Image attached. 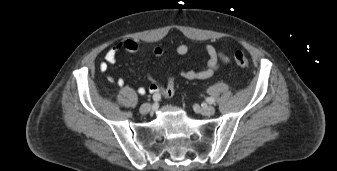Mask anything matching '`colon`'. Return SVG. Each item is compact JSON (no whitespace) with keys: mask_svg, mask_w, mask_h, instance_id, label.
Instances as JSON below:
<instances>
[{"mask_svg":"<svg viewBox=\"0 0 337 171\" xmlns=\"http://www.w3.org/2000/svg\"><path fill=\"white\" fill-rule=\"evenodd\" d=\"M234 61L239 67L242 68L249 66V60L242 52L238 51L234 54Z\"/></svg>","mask_w":337,"mask_h":171,"instance_id":"colon-1","label":"colon"}]
</instances>
